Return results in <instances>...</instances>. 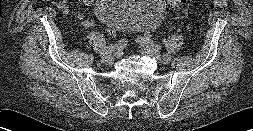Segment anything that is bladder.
I'll return each instance as SVG.
<instances>
[{"instance_id":"bladder-1","label":"bladder","mask_w":253,"mask_h":131,"mask_svg":"<svg viewBox=\"0 0 253 131\" xmlns=\"http://www.w3.org/2000/svg\"><path fill=\"white\" fill-rule=\"evenodd\" d=\"M165 14L162 0H98L96 15L112 29L150 30Z\"/></svg>"}]
</instances>
